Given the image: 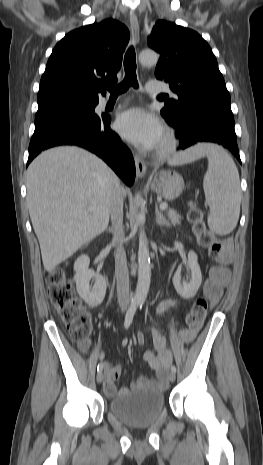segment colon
<instances>
[{
    "instance_id": "colon-1",
    "label": "colon",
    "mask_w": 263,
    "mask_h": 465,
    "mask_svg": "<svg viewBox=\"0 0 263 465\" xmlns=\"http://www.w3.org/2000/svg\"><path fill=\"white\" fill-rule=\"evenodd\" d=\"M189 221L192 224L198 243L208 250L211 257L221 254V244L204 223L202 212L192 205L189 211ZM48 296L56 313L62 319L70 336L82 348L90 343L91 316L77 297L75 290L63 269L53 270L47 280ZM208 308L205 296L198 298L186 316V324L191 331L198 328L204 319Z\"/></svg>"
}]
</instances>
